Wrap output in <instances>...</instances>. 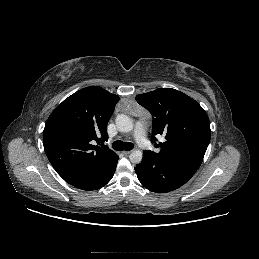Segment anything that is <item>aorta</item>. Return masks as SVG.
Here are the masks:
<instances>
[{
	"label": "aorta",
	"mask_w": 259,
	"mask_h": 259,
	"mask_svg": "<svg viewBox=\"0 0 259 259\" xmlns=\"http://www.w3.org/2000/svg\"><path fill=\"white\" fill-rule=\"evenodd\" d=\"M116 126L120 132L127 133L133 130V122L130 117L124 114H119L116 117ZM143 153L141 150H134L130 154L129 158L132 163H140L142 161Z\"/></svg>",
	"instance_id": "aorta-1"
}]
</instances>
